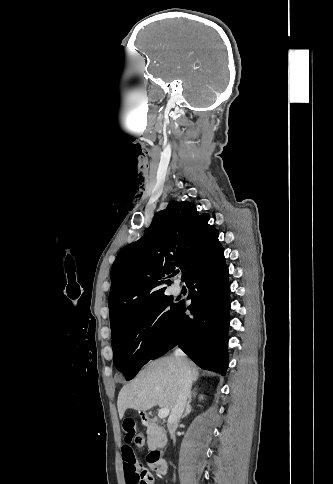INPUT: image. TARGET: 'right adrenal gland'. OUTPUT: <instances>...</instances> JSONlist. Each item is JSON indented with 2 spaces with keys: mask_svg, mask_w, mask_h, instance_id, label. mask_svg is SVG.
I'll return each instance as SVG.
<instances>
[{
  "mask_svg": "<svg viewBox=\"0 0 333 484\" xmlns=\"http://www.w3.org/2000/svg\"><path fill=\"white\" fill-rule=\"evenodd\" d=\"M191 401H192V393H190V395L188 397V402L186 404L185 412H184L182 418L187 417L193 411L192 406H191Z\"/></svg>",
  "mask_w": 333,
  "mask_h": 484,
  "instance_id": "1",
  "label": "right adrenal gland"
}]
</instances>
